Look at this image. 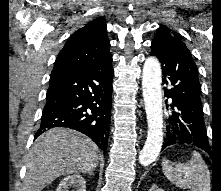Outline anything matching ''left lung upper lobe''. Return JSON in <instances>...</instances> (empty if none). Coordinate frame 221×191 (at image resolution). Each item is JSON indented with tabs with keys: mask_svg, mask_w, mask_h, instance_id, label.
<instances>
[{
	"mask_svg": "<svg viewBox=\"0 0 221 191\" xmlns=\"http://www.w3.org/2000/svg\"><path fill=\"white\" fill-rule=\"evenodd\" d=\"M175 39H178L176 37H174L171 32L170 29L161 25L158 29H157V33L153 39L154 41H158V42H171L174 41ZM208 143V137L206 139V141L204 142V144ZM209 144V143H208Z\"/></svg>",
	"mask_w": 221,
	"mask_h": 191,
	"instance_id": "5c2ea615",
	"label": "left lung upper lobe"
}]
</instances>
